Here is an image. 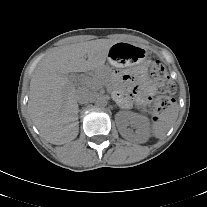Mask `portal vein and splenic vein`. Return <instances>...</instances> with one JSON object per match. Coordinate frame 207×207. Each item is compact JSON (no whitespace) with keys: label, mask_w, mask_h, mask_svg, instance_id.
I'll list each match as a JSON object with an SVG mask.
<instances>
[{"label":"portal vein and splenic vein","mask_w":207,"mask_h":207,"mask_svg":"<svg viewBox=\"0 0 207 207\" xmlns=\"http://www.w3.org/2000/svg\"><path fill=\"white\" fill-rule=\"evenodd\" d=\"M84 81V83H86L87 85H90V79H82Z\"/></svg>","instance_id":"portal-vein-and-splenic-vein-1"}]
</instances>
